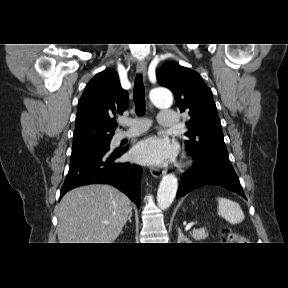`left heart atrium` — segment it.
Here are the masks:
<instances>
[{
	"instance_id": "left-heart-atrium-1",
	"label": "left heart atrium",
	"mask_w": 288,
	"mask_h": 288,
	"mask_svg": "<svg viewBox=\"0 0 288 288\" xmlns=\"http://www.w3.org/2000/svg\"><path fill=\"white\" fill-rule=\"evenodd\" d=\"M174 152V146L166 138L152 135L135 145L133 157L146 164H162L169 161Z\"/></svg>"
}]
</instances>
